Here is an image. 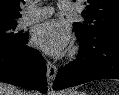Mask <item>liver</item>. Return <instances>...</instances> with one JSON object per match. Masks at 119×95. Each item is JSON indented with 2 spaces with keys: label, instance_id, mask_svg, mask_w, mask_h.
Here are the masks:
<instances>
[{
  "label": "liver",
  "instance_id": "obj_1",
  "mask_svg": "<svg viewBox=\"0 0 119 95\" xmlns=\"http://www.w3.org/2000/svg\"><path fill=\"white\" fill-rule=\"evenodd\" d=\"M38 95L35 92H24L20 88L0 82V95Z\"/></svg>",
  "mask_w": 119,
  "mask_h": 95
}]
</instances>
